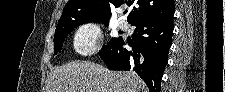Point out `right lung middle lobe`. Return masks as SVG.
I'll return each mask as SVG.
<instances>
[{
  "label": "right lung middle lobe",
  "mask_w": 225,
  "mask_h": 92,
  "mask_svg": "<svg viewBox=\"0 0 225 92\" xmlns=\"http://www.w3.org/2000/svg\"><path fill=\"white\" fill-rule=\"evenodd\" d=\"M88 22H91V21L81 20V21L73 22L72 24L67 26L56 27L55 36H54V45H55L54 55L58 54L61 51L65 38L68 36L69 33L72 32L74 27H77L81 24L88 23ZM97 23H103L105 24V26H108V22H97ZM118 39L119 38H112L110 43H108L107 46H109L111 43L115 42ZM107 46L104 45L102 49L106 48Z\"/></svg>",
  "instance_id": "1"
}]
</instances>
